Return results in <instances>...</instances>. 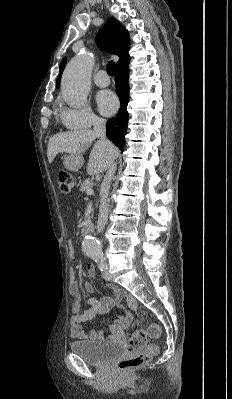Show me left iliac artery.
Instances as JSON below:
<instances>
[{
	"label": "left iliac artery",
	"mask_w": 232,
	"mask_h": 399,
	"mask_svg": "<svg viewBox=\"0 0 232 399\" xmlns=\"http://www.w3.org/2000/svg\"><path fill=\"white\" fill-rule=\"evenodd\" d=\"M91 257L95 262H97L98 267L101 271H106L108 269L106 263V256L104 253H91Z\"/></svg>",
	"instance_id": "44dca946"
}]
</instances>
